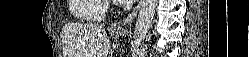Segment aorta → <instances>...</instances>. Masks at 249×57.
I'll list each match as a JSON object with an SVG mask.
<instances>
[{
	"label": "aorta",
	"mask_w": 249,
	"mask_h": 57,
	"mask_svg": "<svg viewBox=\"0 0 249 57\" xmlns=\"http://www.w3.org/2000/svg\"><path fill=\"white\" fill-rule=\"evenodd\" d=\"M157 0H145L139 11L138 18L134 28V46L133 53H139L141 45L154 18Z\"/></svg>",
	"instance_id": "1"
}]
</instances>
